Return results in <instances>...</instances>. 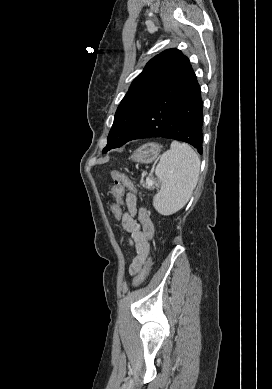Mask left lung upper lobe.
Here are the masks:
<instances>
[{
    "mask_svg": "<svg viewBox=\"0 0 272 389\" xmlns=\"http://www.w3.org/2000/svg\"><path fill=\"white\" fill-rule=\"evenodd\" d=\"M189 64V59L175 48L163 51L146 64L117 108L103 153L127 141L153 98Z\"/></svg>",
    "mask_w": 272,
    "mask_h": 389,
    "instance_id": "5c2ea615",
    "label": "left lung upper lobe"
}]
</instances>
